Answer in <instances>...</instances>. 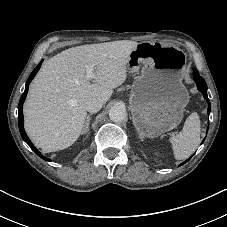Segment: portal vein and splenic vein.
I'll use <instances>...</instances> for the list:
<instances>
[{"label": "portal vein and splenic vein", "instance_id": "portal-vein-and-splenic-vein-1", "mask_svg": "<svg viewBox=\"0 0 227 227\" xmlns=\"http://www.w3.org/2000/svg\"><path fill=\"white\" fill-rule=\"evenodd\" d=\"M94 67L93 66H86V77L88 79L96 78L95 74L93 73Z\"/></svg>", "mask_w": 227, "mask_h": 227}]
</instances>
